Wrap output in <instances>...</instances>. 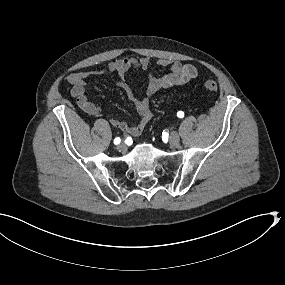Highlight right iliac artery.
I'll use <instances>...</instances> for the list:
<instances>
[{
    "mask_svg": "<svg viewBox=\"0 0 285 285\" xmlns=\"http://www.w3.org/2000/svg\"><path fill=\"white\" fill-rule=\"evenodd\" d=\"M120 141H121V140H120V138H119V137H117V138H115V139H114V144H115V145H117V144H119V143H120Z\"/></svg>",
    "mask_w": 285,
    "mask_h": 285,
    "instance_id": "right-iliac-artery-1",
    "label": "right iliac artery"
}]
</instances>
